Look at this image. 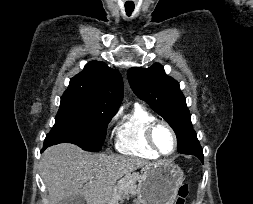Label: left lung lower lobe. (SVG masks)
<instances>
[{
  "label": "left lung lower lobe",
  "instance_id": "1",
  "mask_svg": "<svg viewBox=\"0 0 253 204\" xmlns=\"http://www.w3.org/2000/svg\"><path fill=\"white\" fill-rule=\"evenodd\" d=\"M180 153L194 155V156L198 157L203 162V151H202V148L199 144L197 136H195L194 144L190 147V150H185Z\"/></svg>",
  "mask_w": 253,
  "mask_h": 204
}]
</instances>
